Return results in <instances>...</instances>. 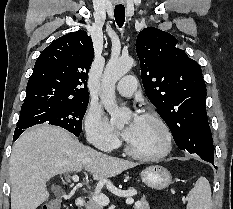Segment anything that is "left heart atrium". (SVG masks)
<instances>
[{
	"label": "left heart atrium",
	"instance_id": "39dd6f15",
	"mask_svg": "<svg viewBox=\"0 0 233 209\" xmlns=\"http://www.w3.org/2000/svg\"><path fill=\"white\" fill-rule=\"evenodd\" d=\"M140 119V116L135 114L133 117H132V120L130 121L129 125L126 127V129L124 130L123 132V136L125 139H129L133 133V129L135 127V125L138 123Z\"/></svg>",
	"mask_w": 233,
	"mask_h": 209
}]
</instances>
